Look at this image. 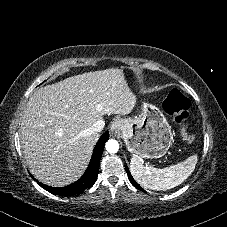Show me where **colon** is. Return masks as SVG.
Wrapping results in <instances>:
<instances>
[{
    "mask_svg": "<svg viewBox=\"0 0 227 227\" xmlns=\"http://www.w3.org/2000/svg\"><path fill=\"white\" fill-rule=\"evenodd\" d=\"M165 109L173 116L180 127V137L185 142L193 141L194 137L186 124L188 118L189 100L179 91L171 90L165 98Z\"/></svg>",
    "mask_w": 227,
    "mask_h": 227,
    "instance_id": "1",
    "label": "colon"
}]
</instances>
